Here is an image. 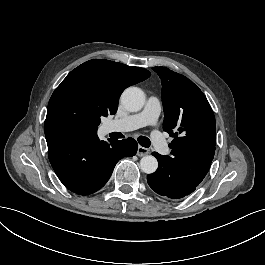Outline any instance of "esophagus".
<instances>
[{"instance_id":"esophagus-1","label":"esophagus","mask_w":265,"mask_h":265,"mask_svg":"<svg viewBox=\"0 0 265 265\" xmlns=\"http://www.w3.org/2000/svg\"><path fill=\"white\" fill-rule=\"evenodd\" d=\"M149 153V149L148 148H145V147H143V146H138V148H137V156H139V157H142V156H145V155H147Z\"/></svg>"}]
</instances>
